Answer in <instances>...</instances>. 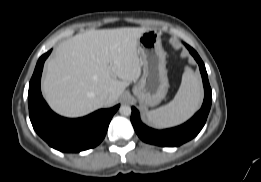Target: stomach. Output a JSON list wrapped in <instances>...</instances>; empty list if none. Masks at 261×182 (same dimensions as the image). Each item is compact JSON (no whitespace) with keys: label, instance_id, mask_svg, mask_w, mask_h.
Instances as JSON below:
<instances>
[{"label":"stomach","instance_id":"0dacf381","mask_svg":"<svg viewBox=\"0 0 261 182\" xmlns=\"http://www.w3.org/2000/svg\"><path fill=\"white\" fill-rule=\"evenodd\" d=\"M137 50L143 76L133 87V94L142 107H153L166 96L169 87L166 54L157 31L147 29L138 39Z\"/></svg>","mask_w":261,"mask_h":182}]
</instances>
